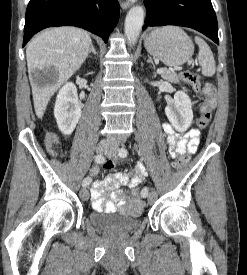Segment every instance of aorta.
Wrapping results in <instances>:
<instances>
[{"label": "aorta", "instance_id": "obj_1", "mask_svg": "<svg viewBox=\"0 0 247 275\" xmlns=\"http://www.w3.org/2000/svg\"><path fill=\"white\" fill-rule=\"evenodd\" d=\"M144 9L141 6L132 7L125 19V35L130 46L135 45L144 23Z\"/></svg>", "mask_w": 247, "mask_h": 275}]
</instances>
